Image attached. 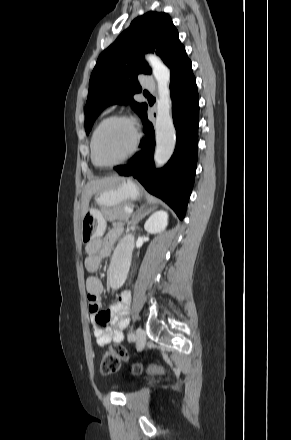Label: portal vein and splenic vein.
<instances>
[{
	"label": "portal vein and splenic vein",
	"instance_id": "1",
	"mask_svg": "<svg viewBox=\"0 0 291 440\" xmlns=\"http://www.w3.org/2000/svg\"><path fill=\"white\" fill-rule=\"evenodd\" d=\"M124 210H125V212L128 213V214H132V213H133V209L130 208V207H125Z\"/></svg>",
	"mask_w": 291,
	"mask_h": 440
}]
</instances>
